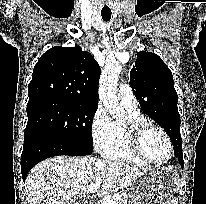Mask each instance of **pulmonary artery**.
<instances>
[{"instance_id": "pulmonary-artery-1", "label": "pulmonary artery", "mask_w": 206, "mask_h": 204, "mask_svg": "<svg viewBox=\"0 0 206 204\" xmlns=\"http://www.w3.org/2000/svg\"><path fill=\"white\" fill-rule=\"evenodd\" d=\"M118 97L123 105L137 108V99L132 91V89L127 84H121L118 87Z\"/></svg>"}]
</instances>
